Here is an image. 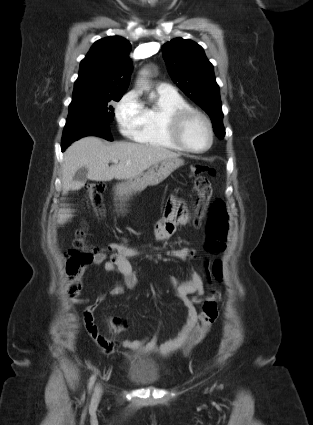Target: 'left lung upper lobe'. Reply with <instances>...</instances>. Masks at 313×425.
<instances>
[{
  "label": "left lung upper lobe",
  "mask_w": 313,
  "mask_h": 425,
  "mask_svg": "<svg viewBox=\"0 0 313 425\" xmlns=\"http://www.w3.org/2000/svg\"><path fill=\"white\" fill-rule=\"evenodd\" d=\"M168 73L177 86L207 114L219 139L225 136L219 86L203 48L190 39L175 38L163 45Z\"/></svg>",
  "instance_id": "1"
}]
</instances>
